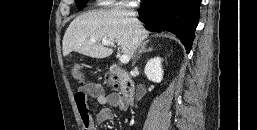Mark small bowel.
<instances>
[{
	"label": "small bowel",
	"mask_w": 257,
	"mask_h": 130,
	"mask_svg": "<svg viewBox=\"0 0 257 130\" xmlns=\"http://www.w3.org/2000/svg\"><path fill=\"white\" fill-rule=\"evenodd\" d=\"M91 97L102 105L95 118L90 115L88 107V100ZM74 100L85 130H96V124L110 120L113 116L112 107L121 111L127 109V104L121 94L116 92L107 94L102 85L95 82L85 83L80 86L74 95Z\"/></svg>",
	"instance_id": "c3829d8e"
}]
</instances>
